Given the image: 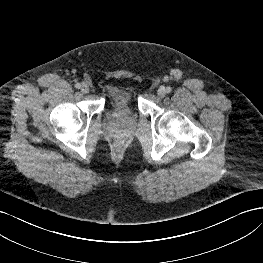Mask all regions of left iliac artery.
<instances>
[{"label": "left iliac artery", "mask_w": 263, "mask_h": 263, "mask_svg": "<svg viewBox=\"0 0 263 263\" xmlns=\"http://www.w3.org/2000/svg\"><path fill=\"white\" fill-rule=\"evenodd\" d=\"M171 91H172L171 87H167V88H166V92H167V93H170Z\"/></svg>", "instance_id": "1"}]
</instances>
